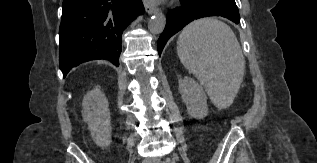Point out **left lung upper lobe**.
Returning a JSON list of instances; mask_svg holds the SVG:
<instances>
[{
  "label": "left lung upper lobe",
  "instance_id": "obj_1",
  "mask_svg": "<svg viewBox=\"0 0 317 163\" xmlns=\"http://www.w3.org/2000/svg\"><path fill=\"white\" fill-rule=\"evenodd\" d=\"M223 1L230 2L236 5L235 0H223Z\"/></svg>",
  "mask_w": 317,
  "mask_h": 163
}]
</instances>
